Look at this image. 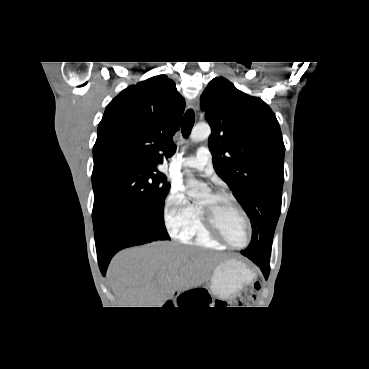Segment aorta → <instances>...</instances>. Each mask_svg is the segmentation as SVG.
<instances>
[{"mask_svg": "<svg viewBox=\"0 0 369 369\" xmlns=\"http://www.w3.org/2000/svg\"><path fill=\"white\" fill-rule=\"evenodd\" d=\"M211 134V129L208 124H197L193 127L190 138L194 142H199L207 139ZM188 181H187V194L193 198L203 197L208 192V187L205 183H202L195 178L191 177L189 171H187Z\"/></svg>", "mask_w": 369, "mask_h": 369, "instance_id": "obj_1", "label": "aorta"}]
</instances>
